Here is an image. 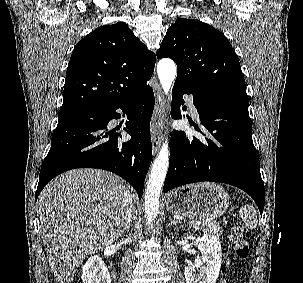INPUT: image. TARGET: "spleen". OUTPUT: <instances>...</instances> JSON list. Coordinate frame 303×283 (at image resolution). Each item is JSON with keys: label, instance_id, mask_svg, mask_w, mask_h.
<instances>
[{"label": "spleen", "instance_id": "1", "mask_svg": "<svg viewBox=\"0 0 303 283\" xmlns=\"http://www.w3.org/2000/svg\"><path fill=\"white\" fill-rule=\"evenodd\" d=\"M240 216L247 229L253 230L257 227L258 220L256 210L253 206L245 204L240 208Z\"/></svg>", "mask_w": 303, "mask_h": 283}]
</instances>
